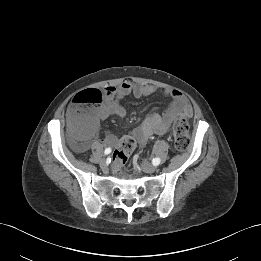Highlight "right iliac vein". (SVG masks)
<instances>
[{
	"mask_svg": "<svg viewBox=\"0 0 261 261\" xmlns=\"http://www.w3.org/2000/svg\"><path fill=\"white\" fill-rule=\"evenodd\" d=\"M99 164L102 168H106L107 167V162L106 160L103 158L99 161Z\"/></svg>",
	"mask_w": 261,
	"mask_h": 261,
	"instance_id": "right-iliac-vein-1",
	"label": "right iliac vein"
}]
</instances>
